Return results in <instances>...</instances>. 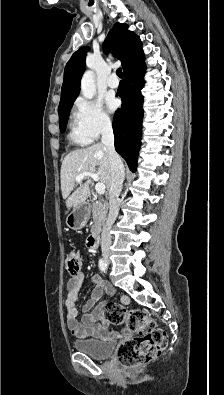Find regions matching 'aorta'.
Instances as JSON below:
<instances>
[{
    "mask_svg": "<svg viewBox=\"0 0 224 395\" xmlns=\"http://www.w3.org/2000/svg\"><path fill=\"white\" fill-rule=\"evenodd\" d=\"M81 93L84 98L92 99L96 94L95 75L93 71H86L81 79Z\"/></svg>",
    "mask_w": 224,
    "mask_h": 395,
    "instance_id": "762f6f07",
    "label": "aorta"
}]
</instances>
